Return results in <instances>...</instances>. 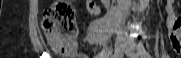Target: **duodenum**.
<instances>
[{"label": "duodenum", "mask_w": 181, "mask_h": 58, "mask_svg": "<svg viewBox=\"0 0 181 58\" xmlns=\"http://www.w3.org/2000/svg\"><path fill=\"white\" fill-rule=\"evenodd\" d=\"M104 3H105L107 6H110V5L113 3V1L105 0Z\"/></svg>", "instance_id": "1"}]
</instances>
